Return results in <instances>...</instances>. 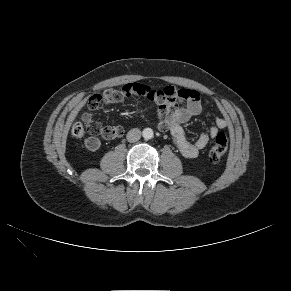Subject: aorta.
Returning <instances> with one entry per match:
<instances>
[{"label": "aorta", "instance_id": "762f6f07", "mask_svg": "<svg viewBox=\"0 0 291 291\" xmlns=\"http://www.w3.org/2000/svg\"><path fill=\"white\" fill-rule=\"evenodd\" d=\"M153 135H154V132L151 128H145L142 132V136L146 140L153 138Z\"/></svg>", "mask_w": 291, "mask_h": 291}]
</instances>
